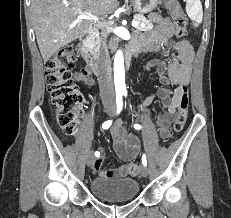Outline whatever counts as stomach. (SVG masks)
Wrapping results in <instances>:
<instances>
[{"label":"stomach","instance_id":"obj_1","mask_svg":"<svg viewBox=\"0 0 231 218\" xmlns=\"http://www.w3.org/2000/svg\"><path fill=\"white\" fill-rule=\"evenodd\" d=\"M134 8L140 13H149L156 9L161 0H131Z\"/></svg>","mask_w":231,"mask_h":218}]
</instances>
